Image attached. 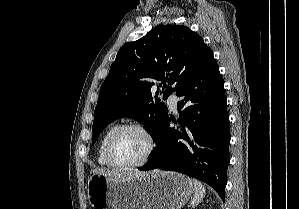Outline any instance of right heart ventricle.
Wrapping results in <instances>:
<instances>
[{
    "mask_svg": "<svg viewBox=\"0 0 299 209\" xmlns=\"http://www.w3.org/2000/svg\"><path fill=\"white\" fill-rule=\"evenodd\" d=\"M118 128L117 124L110 125L103 133L98 148H97V160L100 165L108 166L105 159V148L109 136Z\"/></svg>",
    "mask_w": 299,
    "mask_h": 209,
    "instance_id": "right-heart-ventricle-1",
    "label": "right heart ventricle"
}]
</instances>
